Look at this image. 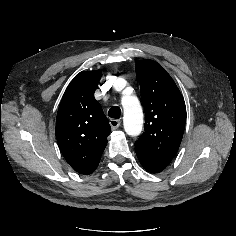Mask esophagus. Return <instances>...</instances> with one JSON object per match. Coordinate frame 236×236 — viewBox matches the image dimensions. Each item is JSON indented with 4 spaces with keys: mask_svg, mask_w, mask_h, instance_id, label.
Instances as JSON below:
<instances>
[{
    "mask_svg": "<svg viewBox=\"0 0 236 236\" xmlns=\"http://www.w3.org/2000/svg\"><path fill=\"white\" fill-rule=\"evenodd\" d=\"M109 123L112 129H117L120 126V120L118 119H111Z\"/></svg>",
    "mask_w": 236,
    "mask_h": 236,
    "instance_id": "obj_1",
    "label": "esophagus"
}]
</instances>
